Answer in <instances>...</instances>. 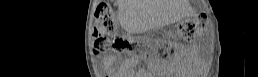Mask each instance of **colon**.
Here are the masks:
<instances>
[{
    "mask_svg": "<svg viewBox=\"0 0 258 77\" xmlns=\"http://www.w3.org/2000/svg\"><path fill=\"white\" fill-rule=\"evenodd\" d=\"M206 24V17L199 16L195 21H186L181 24L176 33L184 39L191 40L204 31ZM117 26V20L109 7L105 5L97 7L93 31L94 45L97 50L118 49L123 46V42L115 36Z\"/></svg>",
    "mask_w": 258,
    "mask_h": 77,
    "instance_id": "5ec220e1",
    "label": "colon"
}]
</instances>
